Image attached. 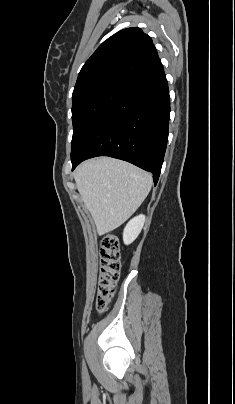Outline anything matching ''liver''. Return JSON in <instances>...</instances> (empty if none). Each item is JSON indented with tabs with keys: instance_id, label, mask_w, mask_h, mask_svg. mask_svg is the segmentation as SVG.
I'll return each mask as SVG.
<instances>
[{
	"instance_id": "1",
	"label": "liver",
	"mask_w": 235,
	"mask_h": 404,
	"mask_svg": "<svg viewBox=\"0 0 235 404\" xmlns=\"http://www.w3.org/2000/svg\"><path fill=\"white\" fill-rule=\"evenodd\" d=\"M74 179L99 235L123 224L152 187L151 174L109 157L83 162L76 168Z\"/></svg>"
}]
</instances>
